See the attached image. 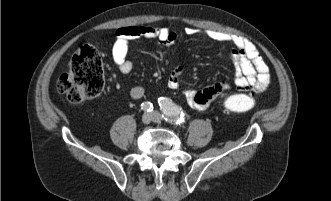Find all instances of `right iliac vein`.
I'll return each instance as SVG.
<instances>
[{"mask_svg":"<svg viewBox=\"0 0 331 201\" xmlns=\"http://www.w3.org/2000/svg\"><path fill=\"white\" fill-rule=\"evenodd\" d=\"M152 121V115L150 113H144L142 116V122L144 124H149Z\"/></svg>","mask_w":331,"mask_h":201,"instance_id":"63e3f726","label":"right iliac vein"}]
</instances>
